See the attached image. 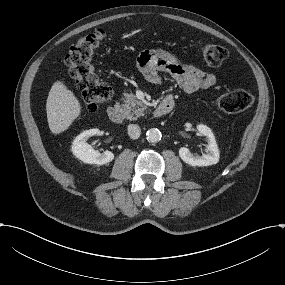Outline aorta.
Listing matches in <instances>:
<instances>
[{
	"mask_svg": "<svg viewBox=\"0 0 285 285\" xmlns=\"http://www.w3.org/2000/svg\"><path fill=\"white\" fill-rule=\"evenodd\" d=\"M146 137L149 142L155 143L161 140L162 134L159 129L151 128L146 132Z\"/></svg>",
	"mask_w": 285,
	"mask_h": 285,
	"instance_id": "762f6f07",
	"label": "aorta"
}]
</instances>
